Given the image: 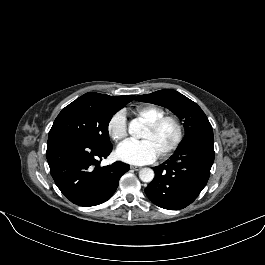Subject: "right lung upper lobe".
Segmentation results:
<instances>
[{
	"label": "right lung upper lobe",
	"instance_id": "cb5924a9",
	"mask_svg": "<svg viewBox=\"0 0 265 265\" xmlns=\"http://www.w3.org/2000/svg\"><path fill=\"white\" fill-rule=\"evenodd\" d=\"M133 97V95L113 97L105 94L89 92L79 97L77 100L86 101L105 109L113 110L123 108L127 103L132 101Z\"/></svg>",
	"mask_w": 265,
	"mask_h": 265
}]
</instances>
